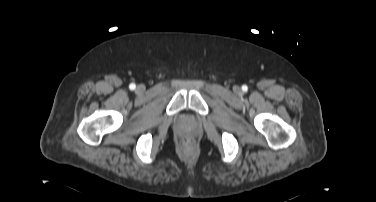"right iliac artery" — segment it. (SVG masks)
<instances>
[{"label":"right iliac artery","instance_id":"obj_1","mask_svg":"<svg viewBox=\"0 0 376 202\" xmlns=\"http://www.w3.org/2000/svg\"><path fill=\"white\" fill-rule=\"evenodd\" d=\"M129 88H130L131 90H134V89L136 88V85H135L134 83H132V84L129 85Z\"/></svg>","mask_w":376,"mask_h":202}]
</instances>
